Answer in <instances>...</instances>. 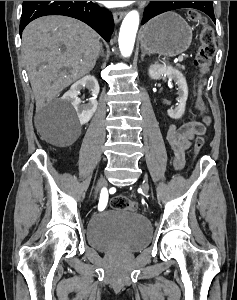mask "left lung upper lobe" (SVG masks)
<instances>
[{
  "label": "left lung upper lobe",
  "instance_id": "1",
  "mask_svg": "<svg viewBox=\"0 0 237 300\" xmlns=\"http://www.w3.org/2000/svg\"><path fill=\"white\" fill-rule=\"evenodd\" d=\"M174 1H151V4L147 7L143 14L142 24L156 15L163 12L179 9V8H195L200 9L203 6V1H184L179 5H173Z\"/></svg>",
  "mask_w": 237,
  "mask_h": 300
}]
</instances>
